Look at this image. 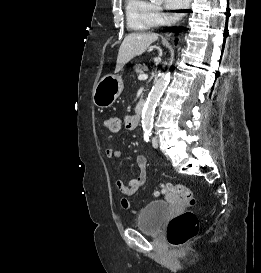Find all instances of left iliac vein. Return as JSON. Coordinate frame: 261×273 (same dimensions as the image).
Segmentation results:
<instances>
[{
    "mask_svg": "<svg viewBox=\"0 0 261 273\" xmlns=\"http://www.w3.org/2000/svg\"><path fill=\"white\" fill-rule=\"evenodd\" d=\"M152 145H153L154 148H157V147H158V140H157L156 137H154V138L152 139Z\"/></svg>",
    "mask_w": 261,
    "mask_h": 273,
    "instance_id": "1",
    "label": "left iliac vein"
}]
</instances>
